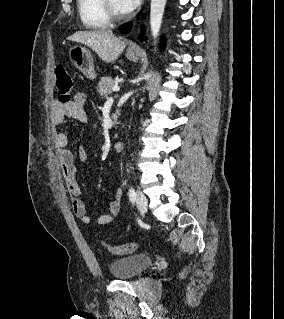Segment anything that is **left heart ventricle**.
Instances as JSON below:
<instances>
[{
	"mask_svg": "<svg viewBox=\"0 0 284 319\" xmlns=\"http://www.w3.org/2000/svg\"><path fill=\"white\" fill-rule=\"evenodd\" d=\"M111 4L118 13H126V11L122 8L119 0H111Z\"/></svg>",
	"mask_w": 284,
	"mask_h": 319,
	"instance_id": "b2bd125f",
	"label": "left heart ventricle"
}]
</instances>
